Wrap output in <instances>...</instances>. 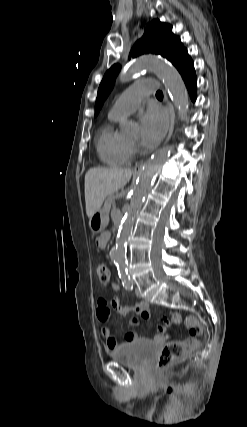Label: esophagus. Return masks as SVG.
<instances>
[{
    "label": "esophagus",
    "instance_id": "1",
    "mask_svg": "<svg viewBox=\"0 0 247 427\" xmlns=\"http://www.w3.org/2000/svg\"><path fill=\"white\" fill-rule=\"evenodd\" d=\"M166 104L170 109V123H169V131H168V135L167 138L165 140V143H167L169 141V139L172 136L173 133V129H174V122H175V111H174V107L173 105L168 101V99L166 98ZM145 162L140 163L139 165H137L135 167V172H140L142 170V168L144 167Z\"/></svg>",
    "mask_w": 247,
    "mask_h": 427
}]
</instances>
